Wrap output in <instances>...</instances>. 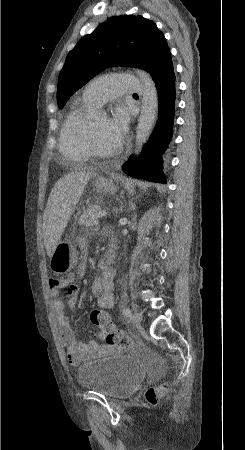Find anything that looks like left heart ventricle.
Wrapping results in <instances>:
<instances>
[{"instance_id":"1","label":"left heart ventricle","mask_w":245,"mask_h":450,"mask_svg":"<svg viewBox=\"0 0 245 450\" xmlns=\"http://www.w3.org/2000/svg\"><path fill=\"white\" fill-rule=\"evenodd\" d=\"M93 124V132L98 146L108 152L115 151L117 146L114 145L108 135L106 117H97L91 120Z\"/></svg>"}]
</instances>
